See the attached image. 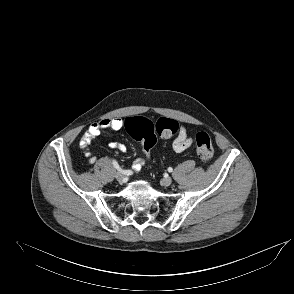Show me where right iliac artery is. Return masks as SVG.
I'll return each instance as SVG.
<instances>
[{
	"label": "right iliac artery",
	"instance_id": "right-iliac-artery-1",
	"mask_svg": "<svg viewBox=\"0 0 294 294\" xmlns=\"http://www.w3.org/2000/svg\"><path fill=\"white\" fill-rule=\"evenodd\" d=\"M113 165H114V167H115L119 172H121V173H123V174H125V175H131V174H132V171H130V170H123V169L118 165V163H117L115 160H113Z\"/></svg>",
	"mask_w": 294,
	"mask_h": 294
}]
</instances>
